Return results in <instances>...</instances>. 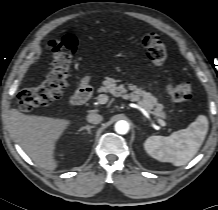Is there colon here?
<instances>
[{"mask_svg":"<svg viewBox=\"0 0 218 210\" xmlns=\"http://www.w3.org/2000/svg\"><path fill=\"white\" fill-rule=\"evenodd\" d=\"M146 58L156 67H161L166 59L167 51L164 42L155 33H147L143 37ZM78 48V39L73 35L61 38L55 49V62L51 72L39 85L21 92L20 102L27 108H38L59 99L68 85L70 63ZM167 93L177 102L189 101L192 98L190 82L169 83Z\"/></svg>","mask_w":218,"mask_h":210,"instance_id":"obj_1","label":"colon"}]
</instances>
